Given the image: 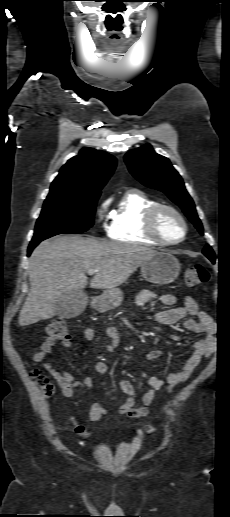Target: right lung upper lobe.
<instances>
[{
  "mask_svg": "<svg viewBox=\"0 0 230 517\" xmlns=\"http://www.w3.org/2000/svg\"><path fill=\"white\" fill-rule=\"evenodd\" d=\"M116 167L112 155L92 148H83L68 160L51 184L47 198L60 196H92L101 193Z\"/></svg>",
  "mask_w": 230,
  "mask_h": 517,
  "instance_id": "cb5924a9",
  "label": "right lung upper lobe"
}]
</instances>
